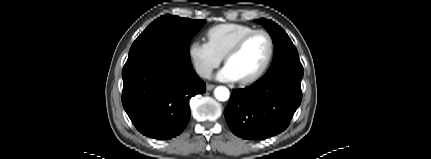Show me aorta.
I'll use <instances>...</instances> for the list:
<instances>
[{
	"label": "aorta",
	"instance_id": "aorta-1",
	"mask_svg": "<svg viewBox=\"0 0 431 159\" xmlns=\"http://www.w3.org/2000/svg\"><path fill=\"white\" fill-rule=\"evenodd\" d=\"M216 99L219 101H226L229 99L230 92L226 87L219 86L214 91Z\"/></svg>",
	"mask_w": 431,
	"mask_h": 159
}]
</instances>
